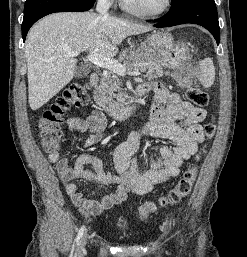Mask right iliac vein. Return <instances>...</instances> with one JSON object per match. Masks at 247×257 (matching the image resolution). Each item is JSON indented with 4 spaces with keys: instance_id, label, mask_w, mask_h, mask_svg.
I'll use <instances>...</instances> for the list:
<instances>
[{
    "instance_id": "1",
    "label": "right iliac vein",
    "mask_w": 247,
    "mask_h": 257,
    "mask_svg": "<svg viewBox=\"0 0 247 257\" xmlns=\"http://www.w3.org/2000/svg\"><path fill=\"white\" fill-rule=\"evenodd\" d=\"M86 244H87V235H85L81 240L79 251H78V257H83Z\"/></svg>"
}]
</instances>
